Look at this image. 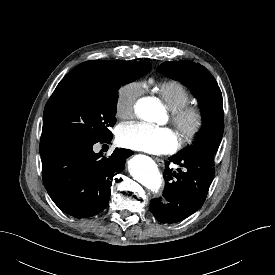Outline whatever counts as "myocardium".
Returning a JSON list of instances; mask_svg holds the SVG:
<instances>
[{
  "label": "myocardium",
  "mask_w": 275,
  "mask_h": 275,
  "mask_svg": "<svg viewBox=\"0 0 275 275\" xmlns=\"http://www.w3.org/2000/svg\"><path fill=\"white\" fill-rule=\"evenodd\" d=\"M170 120L181 144L192 141L203 126V114L201 110L197 106L190 104L171 112Z\"/></svg>",
  "instance_id": "1"
}]
</instances>
